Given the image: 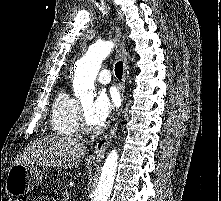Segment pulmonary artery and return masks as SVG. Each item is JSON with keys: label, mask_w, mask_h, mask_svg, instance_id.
<instances>
[{"label": "pulmonary artery", "mask_w": 221, "mask_h": 201, "mask_svg": "<svg viewBox=\"0 0 221 201\" xmlns=\"http://www.w3.org/2000/svg\"><path fill=\"white\" fill-rule=\"evenodd\" d=\"M97 80L101 83V84H108L111 80V75L109 70L104 69L102 70L98 76H97Z\"/></svg>", "instance_id": "1"}]
</instances>
